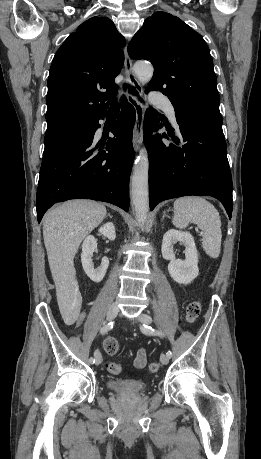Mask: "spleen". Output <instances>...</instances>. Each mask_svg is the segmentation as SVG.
<instances>
[{"label": "spleen", "mask_w": 261, "mask_h": 459, "mask_svg": "<svg viewBox=\"0 0 261 459\" xmlns=\"http://www.w3.org/2000/svg\"><path fill=\"white\" fill-rule=\"evenodd\" d=\"M172 222L176 228L185 229L190 223L204 232L202 247L213 259L219 257L221 251V219L217 209L205 198L200 196L180 197L174 202Z\"/></svg>", "instance_id": "obj_1"}]
</instances>
